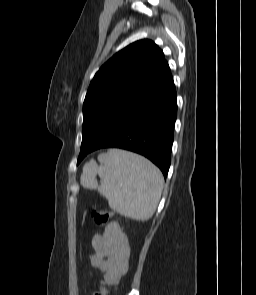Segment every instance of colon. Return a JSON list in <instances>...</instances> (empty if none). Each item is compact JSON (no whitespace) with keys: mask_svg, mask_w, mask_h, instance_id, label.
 <instances>
[{"mask_svg":"<svg viewBox=\"0 0 256 295\" xmlns=\"http://www.w3.org/2000/svg\"><path fill=\"white\" fill-rule=\"evenodd\" d=\"M91 218L95 226L102 227L108 223L110 214L104 209H95L91 212ZM94 295H108V290L101 284L99 289L94 292Z\"/></svg>","mask_w":256,"mask_h":295,"instance_id":"1","label":"colon"}]
</instances>
